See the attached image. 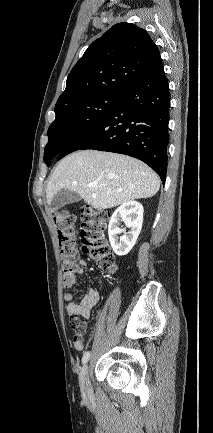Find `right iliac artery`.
<instances>
[{"label": "right iliac artery", "mask_w": 213, "mask_h": 433, "mask_svg": "<svg viewBox=\"0 0 213 433\" xmlns=\"http://www.w3.org/2000/svg\"><path fill=\"white\" fill-rule=\"evenodd\" d=\"M89 358H90V352L87 351V352L84 353V355L82 357V363L86 364L88 362Z\"/></svg>", "instance_id": "1"}]
</instances>
